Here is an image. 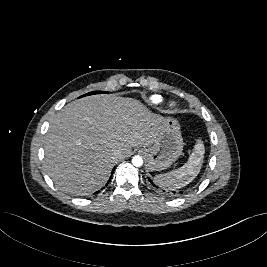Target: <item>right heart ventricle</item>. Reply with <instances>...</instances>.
<instances>
[{
  "mask_svg": "<svg viewBox=\"0 0 267 267\" xmlns=\"http://www.w3.org/2000/svg\"><path fill=\"white\" fill-rule=\"evenodd\" d=\"M162 101V98L159 97V96H152L150 98V102L153 104V105H159Z\"/></svg>",
  "mask_w": 267,
  "mask_h": 267,
  "instance_id": "1",
  "label": "right heart ventricle"
}]
</instances>
